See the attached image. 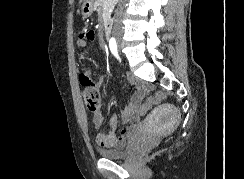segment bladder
Returning a JSON list of instances; mask_svg holds the SVG:
<instances>
[{
    "label": "bladder",
    "mask_w": 244,
    "mask_h": 179,
    "mask_svg": "<svg viewBox=\"0 0 244 179\" xmlns=\"http://www.w3.org/2000/svg\"><path fill=\"white\" fill-rule=\"evenodd\" d=\"M129 150L125 151H116V150H109V149H98V154L101 155L103 158H109V159H119L126 157Z\"/></svg>",
    "instance_id": "1"
}]
</instances>
